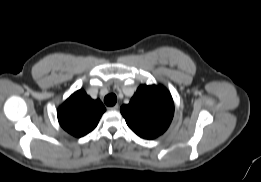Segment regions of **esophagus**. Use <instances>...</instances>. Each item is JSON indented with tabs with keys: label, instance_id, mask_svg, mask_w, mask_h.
<instances>
[{
	"label": "esophagus",
	"instance_id": "obj_1",
	"mask_svg": "<svg viewBox=\"0 0 261 182\" xmlns=\"http://www.w3.org/2000/svg\"><path fill=\"white\" fill-rule=\"evenodd\" d=\"M118 108H119V105L116 104V105L110 107L109 109H110V110H117Z\"/></svg>",
	"mask_w": 261,
	"mask_h": 182
}]
</instances>
